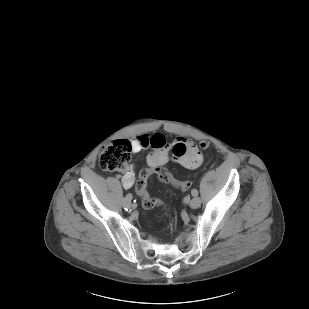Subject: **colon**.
I'll list each match as a JSON object with an SVG mask.
<instances>
[{
  "instance_id": "1",
  "label": "colon",
  "mask_w": 309,
  "mask_h": 309,
  "mask_svg": "<svg viewBox=\"0 0 309 309\" xmlns=\"http://www.w3.org/2000/svg\"><path fill=\"white\" fill-rule=\"evenodd\" d=\"M209 147L208 142L200 143V148L206 150ZM132 153V144L129 140L120 139L112 142L102 149L99 154V166L109 172H118L123 170L128 161L130 160ZM154 172L157 177L173 187L180 190H187L191 187L192 181L187 180L184 182L178 181L173 177L171 172L162 166L157 167ZM152 171L143 170L140 173L139 179L136 183V191L140 197L141 204L145 209H151L159 205V201L149 196L146 191V181L151 175Z\"/></svg>"
}]
</instances>
